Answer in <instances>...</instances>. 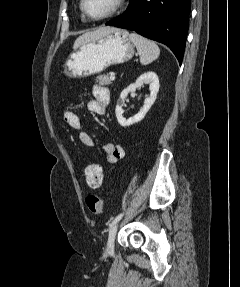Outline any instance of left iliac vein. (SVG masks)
Masks as SVG:
<instances>
[{
  "label": "left iliac vein",
  "instance_id": "obj_1",
  "mask_svg": "<svg viewBox=\"0 0 240 287\" xmlns=\"http://www.w3.org/2000/svg\"><path fill=\"white\" fill-rule=\"evenodd\" d=\"M116 232H117V224H114L109 231V237H108V242H107L108 252H113L114 250V241H115Z\"/></svg>",
  "mask_w": 240,
  "mask_h": 287
}]
</instances>
